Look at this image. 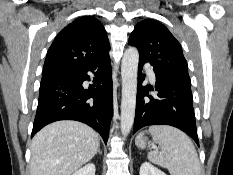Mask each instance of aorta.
I'll use <instances>...</instances> for the list:
<instances>
[{
  "label": "aorta",
  "mask_w": 233,
  "mask_h": 175,
  "mask_svg": "<svg viewBox=\"0 0 233 175\" xmlns=\"http://www.w3.org/2000/svg\"><path fill=\"white\" fill-rule=\"evenodd\" d=\"M138 62V50L135 47H129L123 55L121 64V133L123 136H127L129 134L134 123Z\"/></svg>",
  "instance_id": "aorta-1"
}]
</instances>
